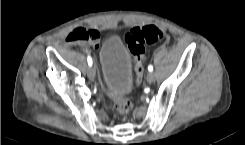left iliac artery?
Returning <instances> with one entry per match:
<instances>
[{
    "mask_svg": "<svg viewBox=\"0 0 245 145\" xmlns=\"http://www.w3.org/2000/svg\"><path fill=\"white\" fill-rule=\"evenodd\" d=\"M148 70H149L150 72H152V71H153V66H152V65H149V66H148Z\"/></svg>",
    "mask_w": 245,
    "mask_h": 145,
    "instance_id": "1",
    "label": "left iliac artery"
}]
</instances>
